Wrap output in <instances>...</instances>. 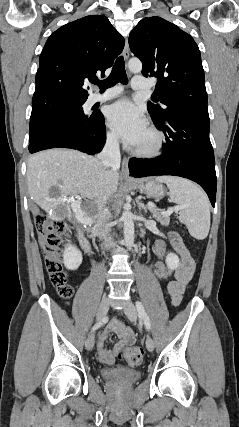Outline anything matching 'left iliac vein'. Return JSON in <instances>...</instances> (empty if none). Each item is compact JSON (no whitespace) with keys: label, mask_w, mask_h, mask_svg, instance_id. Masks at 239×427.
I'll use <instances>...</instances> for the list:
<instances>
[{"label":"left iliac vein","mask_w":239,"mask_h":427,"mask_svg":"<svg viewBox=\"0 0 239 427\" xmlns=\"http://www.w3.org/2000/svg\"><path fill=\"white\" fill-rule=\"evenodd\" d=\"M124 313L128 317V319L132 322L137 319V310L132 302H128L124 307ZM155 347L154 341L150 336H147L146 339V348L149 351H153Z\"/></svg>","instance_id":"4c4485c4"}]
</instances>
